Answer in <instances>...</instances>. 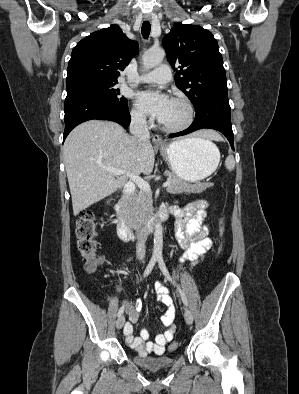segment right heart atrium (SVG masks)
Instances as JSON below:
<instances>
[{
	"label": "right heart atrium",
	"mask_w": 299,
	"mask_h": 394,
	"mask_svg": "<svg viewBox=\"0 0 299 394\" xmlns=\"http://www.w3.org/2000/svg\"><path fill=\"white\" fill-rule=\"evenodd\" d=\"M131 118L132 121L138 125H145L147 122L145 114L137 108L131 111Z\"/></svg>",
	"instance_id": "obj_1"
}]
</instances>
